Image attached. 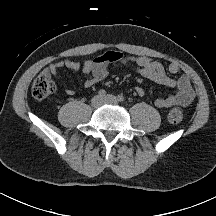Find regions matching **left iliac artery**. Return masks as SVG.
I'll use <instances>...</instances> for the list:
<instances>
[{"instance_id": "obj_1", "label": "left iliac artery", "mask_w": 216, "mask_h": 216, "mask_svg": "<svg viewBox=\"0 0 216 216\" xmlns=\"http://www.w3.org/2000/svg\"><path fill=\"white\" fill-rule=\"evenodd\" d=\"M125 100L123 95H118V101L123 102Z\"/></svg>"}]
</instances>
